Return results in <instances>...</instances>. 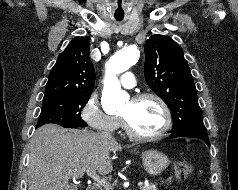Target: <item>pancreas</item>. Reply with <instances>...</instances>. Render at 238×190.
<instances>
[{
    "mask_svg": "<svg viewBox=\"0 0 238 190\" xmlns=\"http://www.w3.org/2000/svg\"><path fill=\"white\" fill-rule=\"evenodd\" d=\"M101 190H112L111 187H104V189ZM141 190H158L154 184H149L147 186H142Z\"/></svg>",
    "mask_w": 238,
    "mask_h": 190,
    "instance_id": "pancreas-1",
    "label": "pancreas"
}]
</instances>
